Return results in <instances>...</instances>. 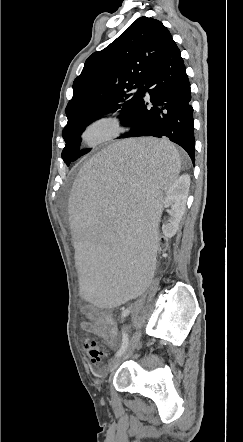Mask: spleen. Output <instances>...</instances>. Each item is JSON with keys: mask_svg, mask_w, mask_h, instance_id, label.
<instances>
[{"mask_svg": "<svg viewBox=\"0 0 243 442\" xmlns=\"http://www.w3.org/2000/svg\"><path fill=\"white\" fill-rule=\"evenodd\" d=\"M181 168L178 151L164 139L120 141L83 163L70 193V226L77 285L91 307H124L149 291L161 190Z\"/></svg>", "mask_w": 243, "mask_h": 442, "instance_id": "spleen-1", "label": "spleen"}]
</instances>
